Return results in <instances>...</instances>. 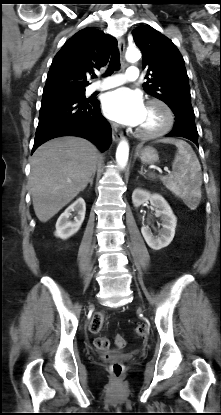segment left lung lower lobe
Wrapping results in <instances>:
<instances>
[{
	"mask_svg": "<svg viewBox=\"0 0 221 415\" xmlns=\"http://www.w3.org/2000/svg\"><path fill=\"white\" fill-rule=\"evenodd\" d=\"M173 130L167 134L168 137H184L191 140L198 146V132L195 125V115L192 113L179 114Z\"/></svg>",
	"mask_w": 221,
	"mask_h": 415,
	"instance_id": "1",
	"label": "left lung lower lobe"
}]
</instances>
